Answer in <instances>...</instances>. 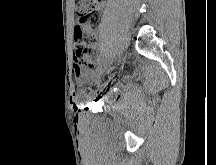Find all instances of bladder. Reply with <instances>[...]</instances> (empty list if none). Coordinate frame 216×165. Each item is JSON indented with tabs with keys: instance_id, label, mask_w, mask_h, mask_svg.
<instances>
[{
	"instance_id": "obj_1",
	"label": "bladder",
	"mask_w": 216,
	"mask_h": 165,
	"mask_svg": "<svg viewBox=\"0 0 216 165\" xmlns=\"http://www.w3.org/2000/svg\"><path fill=\"white\" fill-rule=\"evenodd\" d=\"M101 82H102L101 78L95 77V81L93 83L92 90L89 93V97H93L96 94V91L101 86ZM100 93L101 94H114L115 90L114 89H101Z\"/></svg>"
}]
</instances>
